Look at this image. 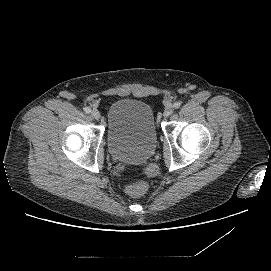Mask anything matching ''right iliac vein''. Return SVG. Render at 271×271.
I'll use <instances>...</instances> for the list:
<instances>
[{"label":"right iliac vein","mask_w":271,"mask_h":271,"mask_svg":"<svg viewBox=\"0 0 271 271\" xmlns=\"http://www.w3.org/2000/svg\"><path fill=\"white\" fill-rule=\"evenodd\" d=\"M91 117L93 118V119H95V120H99L100 119V117H101V114H100V112L97 110V109H93L92 111H91Z\"/></svg>","instance_id":"1"}]
</instances>
